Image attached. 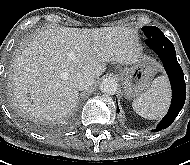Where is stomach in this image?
<instances>
[{"instance_id":"stomach-1","label":"stomach","mask_w":190,"mask_h":165,"mask_svg":"<svg viewBox=\"0 0 190 165\" xmlns=\"http://www.w3.org/2000/svg\"><path fill=\"white\" fill-rule=\"evenodd\" d=\"M157 70L156 63L150 59L140 60L124 68L120 72L124 96L127 99H134L144 94L149 89Z\"/></svg>"}]
</instances>
